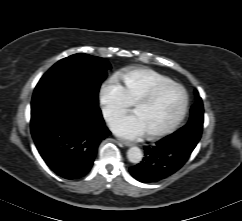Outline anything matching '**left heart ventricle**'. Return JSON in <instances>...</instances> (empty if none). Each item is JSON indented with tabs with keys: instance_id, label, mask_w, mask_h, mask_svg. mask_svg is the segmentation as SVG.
Masks as SVG:
<instances>
[{
	"instance_id": "left-heart-ventricle-1",
	"label": "left heart ventricle",
	"mask_w": 242,
	"mask_h": 221,
	"mask_svg": "<svg viewBox=\"0 0 242 221\" xmlns=\"http://www.w3.org/2000/svg\"><path fill=\"white\" fill-rule=\"evenodd\" d=\"M183 94L179 88L168 87L149 104L138 106L134 113L139 116L147 133L158 132L168 127L179 115Z\"/></svg>"
}]
</instances>
